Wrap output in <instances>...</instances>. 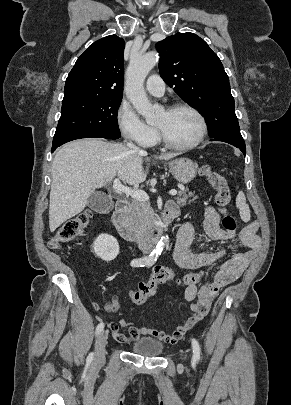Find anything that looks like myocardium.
Masks as SVG:
<instances>
[{
	"label": "myocardium",
	"instance_id": "1",
	"mask_svg": "<svg viewBox=\"0 0 291 405\" xmlns=\"http://www.w3.org/2000/svg\"><path fill=\"white\" fill-rule=\"evenodd\" d=\"M180 109H185L190 112H192L199 120L200 123V132L197 138L192 141L191 143L188 144H176L171 142L163 133V131L156 127L158 139L162 145L165 147L172 149V150H179V151H186V150H191L196 148L198 145H200L205 137L207 136L208 133V124L206 121L205 116L194 106L188 104V103H175L166 108V111L172 112Z\"/></svg>",
	"mask_w": 291,
	"mask_h": 405
}]
</instances>
